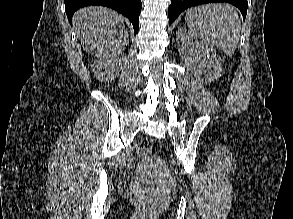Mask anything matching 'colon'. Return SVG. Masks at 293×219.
Listing matches in <instances>:
<instances>
[{
  "label": "colon",
  "instance_id": "obj_1",
  "mask_svg": "<svg viewBox=\"0 0 293 219\" xmlns=\"http://www.w3.org/2000/svg\"><path fill=\"white\" fill-rule=\"evenodd\" d=\"M152 148L153 140L149 137L143 138L138 144V153L143 156H148L151 153ZM135 199L146 210L153 211L154 202L148 193L144 191H138L136 192Z\"/></svg>",
  "mask_w": 293,
  "mask_h": 219
}]
</instances>
